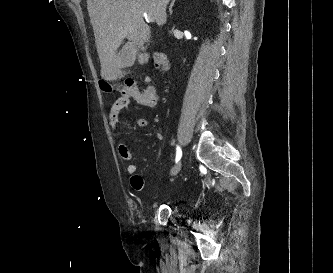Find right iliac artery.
Wrapping results in <instances>:
<instances>
[{"mask_svg":"<svg viewBox=\"0 0 333 273\" xmlns=\"http://www.w3.org/2000/svg\"><path fill=\"white\" fill-rule=\"evenodd\" d=\"M182 156V150L179 146H177L176 148V159L175 161L178 162L181 159Z\"/></svg>","mask_w":333,"mask_h":273,"instance_id":"82829eb1","label":"right iliac artery"}]
</instances>
